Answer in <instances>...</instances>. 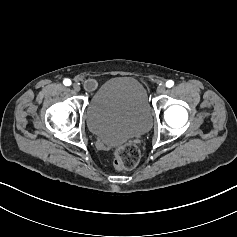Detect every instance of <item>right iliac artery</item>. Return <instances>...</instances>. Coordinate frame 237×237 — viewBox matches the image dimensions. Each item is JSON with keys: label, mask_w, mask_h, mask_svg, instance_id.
<instances>
[{"label": "right iliac artery", "mask_w": 237, "mask_h": 237, "mask_svg": "<svg viewBox=\"0 0 237 237\" xmlns=\"http://www.w3.org/2000/svg\"><path fill=\"white\" fill-rule=\"evenodd\" d=\"M63 84L65 86H70L71 85V80L70 79H64Z\"/></svg>", "instance_id": "1"}]
</instances>
